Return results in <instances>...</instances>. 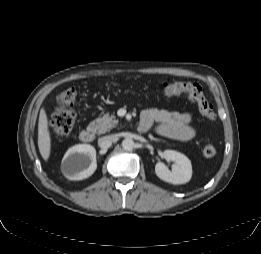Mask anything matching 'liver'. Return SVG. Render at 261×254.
<instances>
[{"mask_svg":"<svg viewBox=\"0 0 261 254\" xmlns=\"http://www.w3.org/2000/svg\"><path fill=\"white\" fill-rule=\"evenodd\" d=\"M38 147L44 160H48L51 150V138L48 129V119L44 109H41L38 122Z\"/></svg>","mask_w":261,"mask_h":254,"instance_id":"liver-1","label":"liver"}]
</instances>
